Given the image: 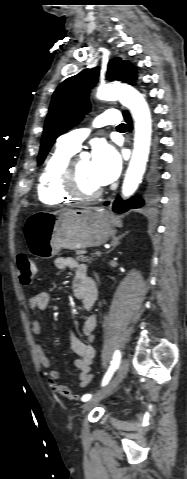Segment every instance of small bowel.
Here are the masks:
<instances>
[{
    "mask_svg": "<svg viewBox=\"0 0 187 479\" xmlns=\"http://www.w3.org/2000/svg\"><path fill=\"white\" fill-rule=\"evenodd\" d=\"M54 264L56 269L60 271L66 269H73L75 271L73 292L81 301L82 309L87 313V317L82 326L87 341H82L71 332L67 347L68 355L77 354L79 356L74 360V365L78 370L77 385L80 388H85L93 379L91 366L96 355L92 332L97 325L98 317L92 312V309L97 298V285L94 278L89 274L88 267L83 263H79L74 258L59 257L55 260ZM50 299L51 296L48 292L41 291L31 298L29 306L32 310L44 311L49 306ZM31 331L35 336L40 335L41 321L38 317L32 320ZM34 348L41 365L46 370L48 378L57 381L59 379V373L46 356L43 345L39 341H36Z\"/></svg>",
    "mask_w": 187,
    "mask_h": 479,
    "instance_id": "small-bowel-1",
    "label": "small bowel"
}]
</instances>
